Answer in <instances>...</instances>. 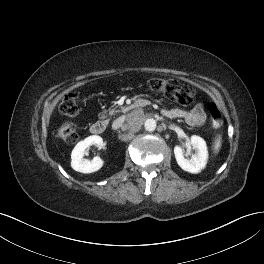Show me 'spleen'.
<instances>
[{
	"instance_id": "1",
	"label": "spleen",
	"mask_w": 264,
	"mask_h": 264,
	"mask_svg": "<svg viewBox=\"0 0 264 264\" xmlns=\"http://www.w3.org/2000/svg\"><path fill=\"white\" fill-rule=\"evenodd\" d=\"M221 147V138L219 137L214 143V152L217 153Z\"/></svg>"
}]
</instances>
